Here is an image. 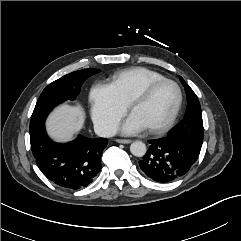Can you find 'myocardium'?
Masks as SVG:
<instances>
[{
  "mask_svg": "<svg viewBox=\"0 0 241 241\" xmlns=\"http://www.w3.org/2000/svg\"><path fill=\"white\" fill-rule=\"evenodd\" d=\"M166 83H169V84H172L173 86H175L177 93H178V99H177V104H176L173 114L171 115L170 119L165 124H163L161 126H156V127H148V130L150 132L156 133V134H161V133H164V132L168 131L169 129H171L179 116V113H180V110H181V107L183 104V92H182V89L179 86V84L177 82H175L171 79H167V78L153 81V82L149 83L148 85H146L136 96L133 97V99L129 103V110H130V112H132L133 109L138 104L146 101L157 87H159L162 84H166Z\"/></svg>",
  "mask_w": 241,
  "mask_h": 241,
  "instance_id": "obj_1",
  "label": "myocardium"
}]
</instances>
